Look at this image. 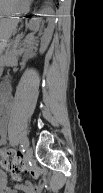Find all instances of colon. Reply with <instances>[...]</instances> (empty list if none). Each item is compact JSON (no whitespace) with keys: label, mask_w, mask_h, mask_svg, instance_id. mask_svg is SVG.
Returning <instances> with one entry per match:
<instances>
[{"label":"colon","mask_w":103,"mask_h":193,"mask_svg":"<svg viewBox=\"0 0 103 193\" xmlns=\"http://www.w3.org/2000/svg\"><path fill=\"white\" fill-rule=\"evenodd\" d=\"M0 165L3 170L15 175L26 172L37 175V171L33 167L25 164L22 159L13 151H3L1 153Z\"/></svg>","instance_id":"1"}]
</instances>
